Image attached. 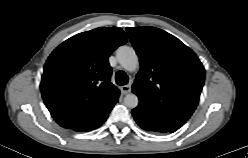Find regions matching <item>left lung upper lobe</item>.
<instances>
[{
	"instance_id": "obj_1",
	"label": "left lung upper lobe",
	"mask_w": 248,
	"mask_h": 158,
	"mask_svg": "<svg viewBox=\"0 0 248 158\" xmlns=\"http://www.w3.org/2000/svg\"><path fill=\"white\" fill-rule=\"evenodd\" d=\"M141 69L132 85L138 109L174 132L199 102L205 70L197 55L173 35L155 27L127 28Z\"/></svg>"
}]
</instances>
